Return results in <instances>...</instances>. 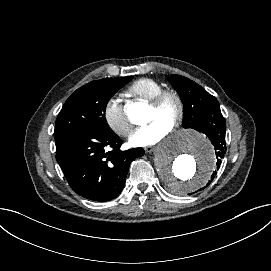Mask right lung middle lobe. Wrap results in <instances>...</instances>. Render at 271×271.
Wrapping results in <instances>:
<instances>
[{"instance_id":"right-lung-middle-lobe-1","label":"right lung middle lobe","mask_w":271,"mask_h":271,"mask_svg":"<svg viewBox=\"0 0 271 271\" xmlns=\"http://www.w3.org/2000/svg\"><path fill=\"white\" fill-rule=\"evenodd\" d=\"M131 79L132 76L104 78L77 89L57 116L54 137L73 131L110 132L104 115L107 103Z\"/></svg>"}]
</instances>
